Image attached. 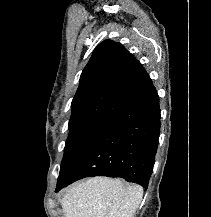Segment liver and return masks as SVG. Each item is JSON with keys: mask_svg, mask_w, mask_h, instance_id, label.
Instances as JSON below:
<instances>
[{"mask_svg": "<svg viewBox=\"0 0 211 217\" xmlns=\"http://www.w3.org/2000/svg\"><path fill=\"white\" fill-rule=\"evenodd\" d=\"M143 197L139 185L119 179L89 178L70 188L61 200L64 217H134Z\"/></svg>", "mask_w": 211, "mask_h": 217, "instance_id": "obj_1", "label": "liver"}]
</instances>
